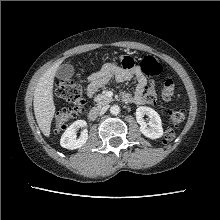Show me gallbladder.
I'll use <instances>...</instances> for the list:
<instances>
[{"instance_id": "obj_1", "label": "gallbladder", "mask_w": 220, "mask_h": 220, "mask_svg": "<svg viewBox=\"0 0 220 220\" xmlns=\"http://www.w3.org/2000/svg\"><path fill=\"white\" fill-rule=\"evenodd\" d=\"M73 75H74V67L69 63H65L59 66L56 72V77L62 80L63 79L69 80L72 78Z\"/></svg>"}]
</instances>
